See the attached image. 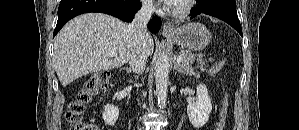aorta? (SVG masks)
I'll return each instance as SVG.
<instances>
[{
	"instance_id": "762f6f07",
	"label": "aorta",
	"mask_w": 299,
	"mask_h": 130,
	"mask_svg": "<svg viewBox=\"0 0 299 130\" xmlns=\"http://www.w3.org/2000/svg\"><path fill=\"white\" fill-rule=\"evenodd\" d=\"M156 93L161 108L166 106L169 83V57L164 52L159 53L154 68Z\"/></svg>"
}]
</instances>
